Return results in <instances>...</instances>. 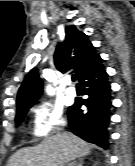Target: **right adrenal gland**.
Masks as SVG:
<instances>
[{
  "instance_id": "right-adrenal-gland-1",
  "label": "right adrenal gland",
  "mask_w": 135,
  "mask_h": 166,
  "mask_svg": "<svg viewBox=\"0 0 135 166\" xmlns=\"http://www.w3.org/2000/svg\"><path fill=\"white\" fill-rule=\"evenodd\" d=\"M67 166H83V160H80L79 163H75V162L69 163Z\"/></svg>"
}]
</instances>
